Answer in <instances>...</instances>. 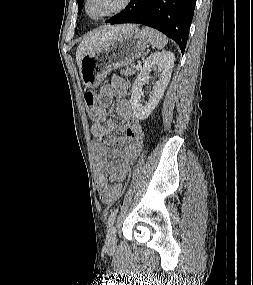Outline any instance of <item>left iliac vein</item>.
Here are the masks:
<instances>
[{"label":"left iliac vein","mask_w":253,"mask_h":285,"mask_svg":"<svg viewBox=\"0 0 253 285\" xmlns=\"http://www.w3.org/2000/svg\"><path fill=\"white\" fill-rule=\"evenodd\" d=\"M116 245H117L116 228H115V226H111L107 232L106 246L109 249H113L116 247Z\"/></svg>","instance_id":"obj_1"}]
</instances>
